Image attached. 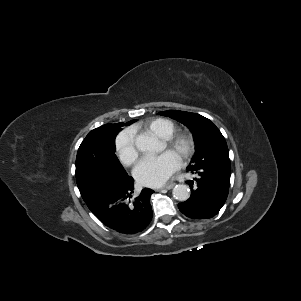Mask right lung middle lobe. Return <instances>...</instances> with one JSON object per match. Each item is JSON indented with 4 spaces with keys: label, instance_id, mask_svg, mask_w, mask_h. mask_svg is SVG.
<instances>
[{
    "label": "right lung middle lobe",
    "instance_id": "dd1d6c3e",
    "mask_svg": "<svg viewBox=\"0 0 301 301\" xmlns=\"http://www.w3.org/2000/svg\"><path fill=\"white\" fill-rule=\"evenodd\" d=\"M116 132L92 130L81 143L76 157V181L81 196L89 195L96 179L105 176L125 177L127 173L115 155Z\"/></svg>",
    "mask_w": 301,
    "mask_h": 301
}]
</instances>
